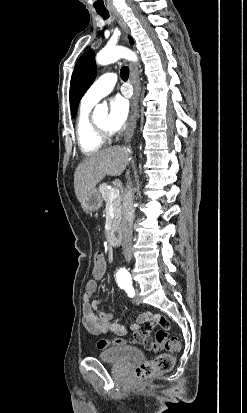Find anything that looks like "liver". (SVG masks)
<instances>
[{
  "label": "liver",
  "instance_id": "6515ba94",
  "mask_svg": "<svg viewBox=\"0 0 247 413\" xmlns=\"http://www.w3.org/2000/svg\"><path fill=\"white\" fill-rule=\"evenodd\" d=\"M128 146H109L83 158L74 172V190L78 200H82L96 184L106 176H119L127 166Z\"/></svg>",
  "mask_w": 247,
  "mask_h": 413
}]
</instances>
